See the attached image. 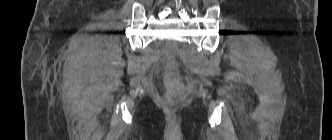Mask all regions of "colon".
I'll return each instance as SVG.
<instances>
[{"instance_id":"1","label":"colon","mask_w":332,"mask_h":140,"mask_svg":"<svg viewBox=\"0 0 332 140\" xmlns=\"http://www.w3.org/2000/svg\"><path fill=\"white\" fill-rule=\"evenodd\" d=\"M168 80V85H169V90L170 93L169 95L166 97L165 99V104L166 106H168L169 108H173L175 107L178 102H179V98L177 96V91L179 88L178 83L172 78L171 75L168 76L167 78Z\"/></svg>"}]
</instances>
